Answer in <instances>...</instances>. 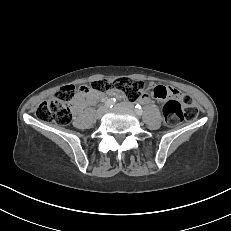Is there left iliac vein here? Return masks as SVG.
Masks as SVG:
<instances>
[{
    "label": "left iliac vein",
    "mask_w": 231,
    "mask_h": 231,
    "mask_svg": "<svg viewBox=\"0 0 231 231\" xmlns=\"http://www.w3.org/2000/svg\"><path fill=\"white\" fill-rule=\"evenodd\" d=\"M117 107H123L126 108L128 110H134V105L130 102H124V103H120L116 105Z\"/></svg>",
    "instance_id": "4c4485c4"
}]
</instances>
